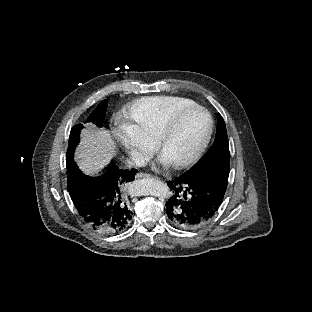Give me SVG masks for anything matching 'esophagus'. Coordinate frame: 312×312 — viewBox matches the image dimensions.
I'll return each mask as SVG.
<instances>
[{
	"mask_svg": "<svg viewBox=\"0 0 312 312\" xmlns=\"http://www.w3.org/2000/svg\"><path fill=\"white\" fill-rule=\"evenodd\" d=\"M136 178L139 179V178H150V179H154L155 177L151 174H148V173H144V172H138L136 174Z\"/></svg>",
	"mask_w": 312,
	"mask_h": 312,
	"instance_id": "34e87169",
	"label": "esophagus"
}]
</instances>
